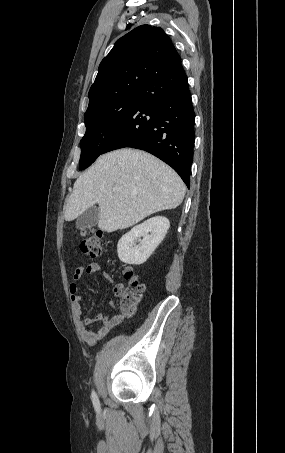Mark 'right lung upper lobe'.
Wrapping results in <instances>:
<instances>
[{
  "mask_svg": "<svg viewBox=\"0 0 285 453\" xmlns=\"http://www.w3.org/2000/svg\"><path fill=\"white\" fill-rule=\"evenodd\" d=\"M179 64L181 58L163 29L141 25L117 40L100 63L87 110L117 96L141 91L149 81Z\"/></svg>",
  "mask_w": 285,
  "mask_h": 453,
  "instance_id": "cb5924a9",
  "label": "right lung upper lobe"
}]
</instances>
